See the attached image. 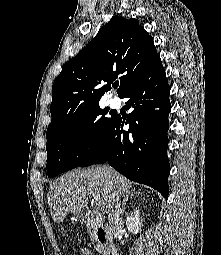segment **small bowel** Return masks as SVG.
<instances>
[{
    "label": "small bowel",
    "instance_id": "obj_1",
    "mask_svg": "<svg viewBox=\"0 0 221 255\" xmlns=\"http://www.w3.org/2000/svg\"><path fill=\"white\" fill-rule=\"evenodd\" d=\"M79 255H92V253L88 248H81Z\"/></svg>",
    "mask_w": 221,
    "mask_h": 255
}]
</instances>
